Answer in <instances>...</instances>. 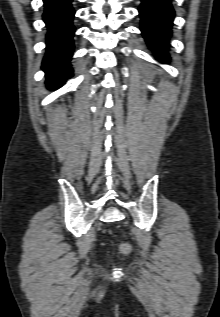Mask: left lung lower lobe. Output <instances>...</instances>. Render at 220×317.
Masks as SVG:
<instances>
[{
	"instance_id": "0a47b994",
	"label": "left lung lower lobe",
	"mask_w": 220,
	"mask_h": 317,
	"mask_svg": "<svg viewBox=\"0 0 220 317\" xmlns=\"http://www.w3.org/2000/svg\"><path fill=\"white\" fill-rule=\"evenodd\" d=\"M141 31L151 49L166 54L174 10L170 0H141Z\"/></svg>"
}]
</instances>
